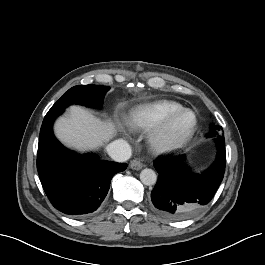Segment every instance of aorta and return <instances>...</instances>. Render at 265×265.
Returning <instances> with one entry per match:
<instances>
[{"instance_id": "1", "label": "aorta", "mask_w": 265, "mask_h": 265, "mask_svg": "<svg viewBox=\"0 0 265 265\" xmlns=\"http://www.w3.org/2000/svg\"><path fill=\"white\" fill-rule=\"evenodd\" d=\"M140 180L144 185L151 186L156 183L157 175L152 169L145 168L140 173Z\"/></svg>"}]
</instances>
